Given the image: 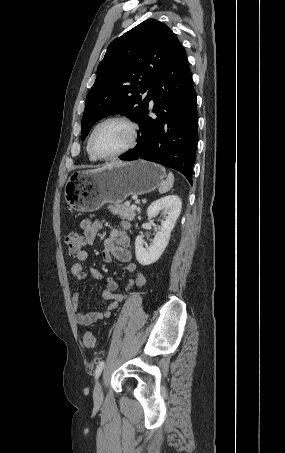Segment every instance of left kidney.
Returning a JSON list of instances; mask_svg holds the SVG:
<instances>
[{
	"label": "left kidney",
	"mask_w": 285,
	"mask_h": 453,
	"mask_svg": "<svg viewBox=\"0 0 285 453\" xmlns=\"http://www.w3.org/2000/svg\"><path fill=\"white\" fill-rule=\"evenodd\" d=\"M181 208L182 203L177 195L160 198L148 207L147 215L149 218L156 217L160 212L166 216L149 246L144 242L143 236L136 237L135 254L141 265H150L160 258L168 245L171 231L181 213Z\"/></svg>",
	"instance_id": "1"
}]
</instances>
